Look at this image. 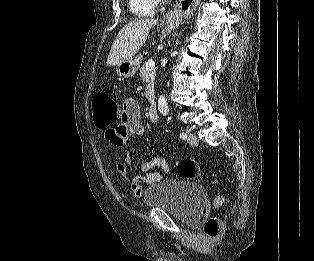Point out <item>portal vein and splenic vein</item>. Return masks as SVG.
Returning <instances> with one entry per match:
<instances>
[{"label":"portal vein and splenic vein","mask_w":314,"mask_h":261,"mask_svg":"<svg viewBox=\"0 0 314 261\" xmlns=\"http://www.w3.org/2000/svg\"><path fill=\"white\" fill-rule=\"evenodd\" d=\"M144 67L147 69V70H153L155 68V62L154 60L150 59L148 60L145 64H144Z\"/></svg>","instance_id":"portal-vein-and-splenic-vein-1"}]
</instances>
